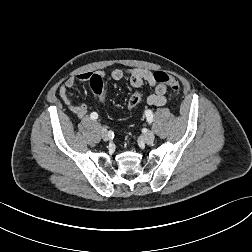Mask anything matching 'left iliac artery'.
<instances>
[{
    "label": "left iliac artery",
    "instance_id": "left-iliac-artery-1",
    "mask_svg": "<svg viewBox=\"0 0 252 252\" xmlns=\"http://www.w3.org/2000/svg\"><path fill=\"white\" fill-rule=\"evenodd\" d=\"M146 117H147V121H148L149 123H152V121H153V113H152L151 110H147V111H146Z\"/></svg>",
    "mask_w": 252,
    "mask_h": 252
}]
</instances>
